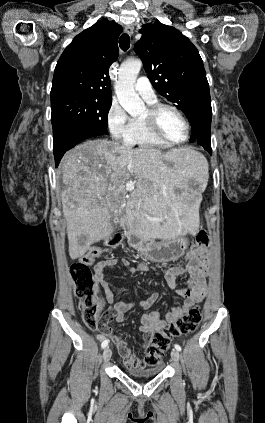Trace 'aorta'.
I'll use <instances>...</instances> for the list:
<instances>
[{"label": "aorta", "instance_id": "762f6f07", "mask_svg": "<svg viewBox=\"0 0 265 423\" xmlns=\"http://www.w3.org/2000/svg\"><path fill=\"white\" fill-rule=\"evenodd\" d=\"M140 60L124 62L118 72L115 92L120 105L131 116L140 115L145 111V104L134 90L137 75L141 69Z\"/></svg>", "mask_w": 265, "mask_h": 423}]
</instances>
